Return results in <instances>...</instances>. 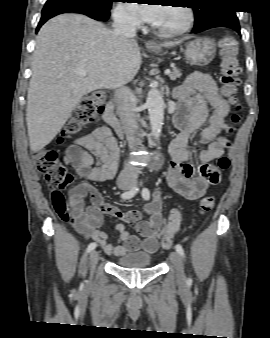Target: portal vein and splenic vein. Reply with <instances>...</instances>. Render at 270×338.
<instances>
[{"label":"portal vein and splenic vein","instance_id":"1","mask_svg":"<svg viewBox=\"0 0 270 338\" xmlns=\"http://www.w3.org/2000/svg\"><path fill=\"white\" fill-rule=\"evenodd\" d=\"M77 75H79L80 77H85L87 75V71L85 69L82 68H78L74 71ZM170 69H166L165 70V75H169L170 74Z\"/></svg>","mask_w":270,"mask_h":338}]
</instances>
